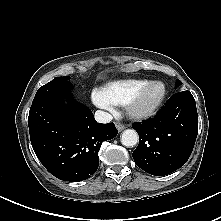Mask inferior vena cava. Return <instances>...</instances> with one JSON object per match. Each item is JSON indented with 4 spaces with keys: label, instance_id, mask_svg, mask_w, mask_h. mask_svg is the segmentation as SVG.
<instances>
[{
    "label": "inferior vena cava",
    "instance_id": "602c4592",
    "mask_svg": "<svg viewBox=\"0 0 221 221\" xmlns=\"http://www.w3.org/2000/svg\"><path fill=\"white\" fill-rule=\"evenodd\" d=\"M94 117L99 123H109L113 119L111 114L102 110H97L94 114Z\"/></svg>",
    "mask_w": 221,
    "mask_h": 221
}]
</instances>
